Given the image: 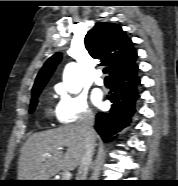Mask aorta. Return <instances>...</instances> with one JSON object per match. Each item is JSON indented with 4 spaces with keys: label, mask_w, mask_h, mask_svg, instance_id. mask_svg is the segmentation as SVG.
Here are the masks:
<instances>
[{
    "label": "aorta",
    "mask_w": 178,
    "mask_h": 186,
    "mask_svg": "<svg viewBox=\"0 0 178 186\" xmlns=\"http://www.w3.org/2000/svg\"><path fill=\"white\" fill-rule=\"evenodd\" d=\"M63 83L67 91L79 93L82 89V71L77 63H69L63 72Z\"/></svg>",
    "instance_id": "762f6f07"
}]
</instances>
